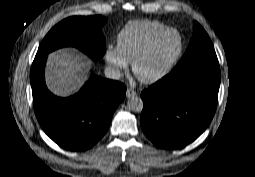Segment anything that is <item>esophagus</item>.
<instances>
[{
  "label": "esophagus",
  "instance_id": "esophagus-1",
  "mask_svg": "<svg viewBox=\"0 0 255 177\" xmlns=\"http://www.w3.org/2000/svg\"><path fill=\"white\" fill-rule=\"evenodd\" d=\"M136 91H134L133 89L131 88H128L127 91H126V96L127 98H131V97H134L136 96Z\"/></svg>",
  "mask_w": 255,
  "mask_h": 177
}]
</instances>
